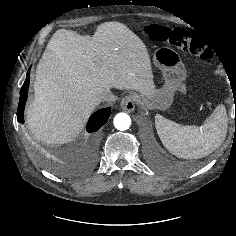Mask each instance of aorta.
<instances>
[{"mask_svg": "<svg viewBox=\"0 0 236 236\" xmlns=\"http://www.w3.org/2000/svg\"><path fill=\"white\" fill-rule=\"evenodd\" d=\"M114 126L117 130L125 131L131 125V118L127 113H118L113 120Z\"/></svg>", "mask_w": 236, "mask_h": 236, "instance_id": "aorta-1", "label": "aorta"}]
</instances>
